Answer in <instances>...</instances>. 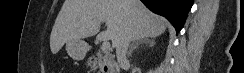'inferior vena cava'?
Wrapping results in <instances>:
<instances>
[{"mask_svg": "<svg viewBox=\"0 0 244 73\" xmlns=\"http://www.w3.org/2000/svg\"><path fill=\"white\" fill-rule=\"evenodd\" d=\"M129 43L130 37L127 34H124L122 35L116 46L117 60L122 68H125L129 65V61L126 57Z\"/></svg>", "mask_w": 244, "mask_h": 73, "instance_id": "1", "label": "inferior vena cava"}]
</instances>
